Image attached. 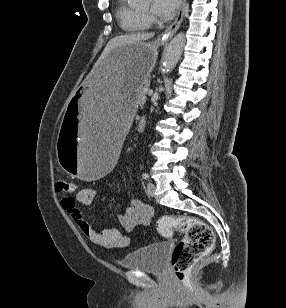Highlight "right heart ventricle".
<instances>
[{"label": "right heart ventricle", "mask_w": 286, "mask_h": 308, "mask_svg": "<svg viewBox=\"0 0 286 308\" xmlns=\"http://www.w3.org/2000/svg\"><path fill=\"white\" fill-rule=\"evenodd\" d=\"M116 17L120 27L130 33L143 32L149 28V21L140 11L132 8L128 0H118Z\"/></svg>", "instance_id": "1"}]
</instances>
